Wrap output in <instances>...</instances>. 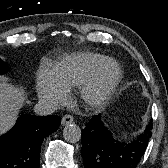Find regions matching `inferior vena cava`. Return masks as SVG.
Returning a JSON list of instances; mask_svg holds the SVG:
<instances>
[{
    "label": "inferior vena cava",
    "mask_w": 168,
    "mask_h": 168,
    "mask_svg": "<svg viewBox=\"0 0 168 168\" xmlns=\"http://www.w3.org/2000/svg\"><path fill=\"white\" fill-rule=\"evenodd\" d=\"M56 108L57 107L53 102L41 100L35 105L34 111L37 115L45 116L54 113Z\"/></svg>",
    "instance_id": "inferior-vena-cava-1"
}]
</instances>
